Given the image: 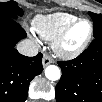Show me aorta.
Here are the masks:
<instances>
[{"label":"aorta","instance_id":"1","mask_svg":"<svg viewBox=\"0 0 102 102\" xmlns=\"http://www.w3.org/2000/svg\"><path fill=\"white\" fill-rule=\"evenodd\" d=\"M45 76L51 81H56L60 79L61 71L56 65H49L45 69Z\"/></svg>","mask_w":102,"mask_h":102}]
</instances>
